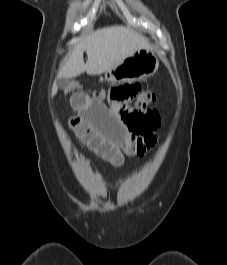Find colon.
I'll use <instances>...</instances> for the list:
<instances>
[{
    "label": "colon",
    "instance_id": "5ec220e1",
    "mask_svg": "<svg viewBox=\"0 0 227 265\" xmlns=\"http://www.w3.org/2000/svg\"><path fill=\"white\" fill-rule=\"evenodd\" d=\"M74 91L84 90L78 82H71L66 87L65 94L70 98L74 96ZM108 97L117 115L133 134L145 135L160 126L157 110L150 107L158 98L156 92L140 91L137 85L123 84L111 87ZM86 98L89 96L85 92Z\"/></svg>",
    "mask_w": 227,
    "mask_h": 265
}]
</instances>
